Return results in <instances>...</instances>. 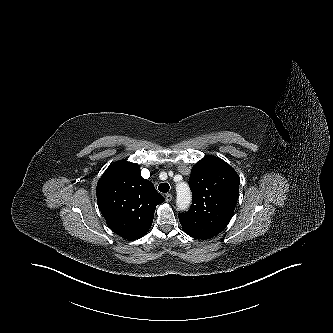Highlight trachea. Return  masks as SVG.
<instances>
[{"label": "trachea", "instance_id": "trachea-1", "mask_svg": "<svg viewBox=\"0 0 333 333\" xmlns=\"http://www.w3.org/2000/svg\"><path fill=\"white\" fill-rule=\"evenodd\" d=\"M158 189L160 192L167 193L170 190V186L168 183H161L158 186Z\"/></svg>", "mask_w": 333, "mask_h": 333}]
</instances>
